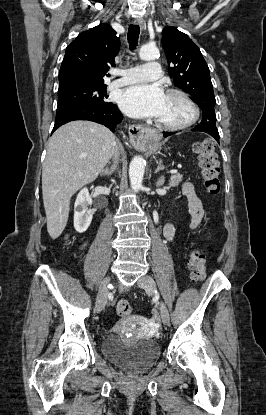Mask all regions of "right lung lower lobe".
<instances>
[{
    "instance_id": "1",
    "label": "right lung lower lobe",
    "mask_w": 266,
    "mask_h": 415,
    "mask_svg": "<svg viewBox=\"0 0 266 415\" xmlns=\"http://www.w3.org/2000/svg\"><path fill=\"white\" fill-rule=\"evenodd\" d=\"M122 114L115 104L98 106L84 103H66L57 106L52 133L61 125L74 120H89L108 127L112 132L122 121Z\"/></svg>"
}]
</instances>
